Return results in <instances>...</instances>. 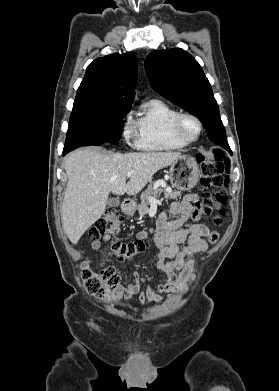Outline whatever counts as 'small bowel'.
<instances>
[{"label": "small bowel", "mask_w": 279, "mask_h": 391, "mask_svg": "<svg viewBox=\"0 0 279 391\" xmlns=\"http://www.w3.org/2000/svg\"><path fill=\"white\" fill-rule=\"evenodd\" d=\"M198 202L197 194H189L182 201L172 202L158 217L156 227L150 230L158 250V257L154 266L166 275L165 281L157 285L147 284L144 288L145 279L134 271L132 281L119 287L116 291L118 297L129 302L134 295L139 296V303L143 306L160 303V293H179L185 289L186 282L193 275L194 262L191 256L203 253L208 249V236L211 231L205 224L190 223L193 218L192 204ZM168 214L177 216L176 219L168 221ZM148 232L142 231L137 234V239H145ZM103 241H108L104 237ZM102 246L101 240L92 243V249L97 250ZM85 268L89 267V261L83 263Z\"/></svg>", "instance_id": "small-bowel-1"}]
</instances>
